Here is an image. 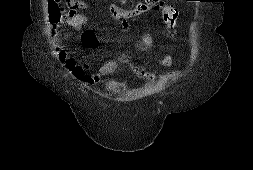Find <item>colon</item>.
I'll return each mask as SVG.
<instances>
[{"instance_id": "obj_1", "label": "colon", "mask_w": 253, "mask_h": 170, "mask_svg": "<svg viewBox=\"0 0 253 170\" xmlns=\"http://www.w3.org/2000/svg\"><path fill=\"white\" fill-rule=\"evenodd\" d=\"M156 0H150L151 3ZM80 8L78 0H48V11L53 22H58L65 17H73ZM177 19L174 13L172 19Z\"/></svg>"}]
</instances>
